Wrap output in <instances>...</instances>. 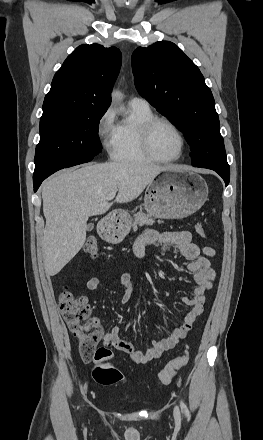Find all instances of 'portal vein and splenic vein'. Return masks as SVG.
Segmentation results:
<instances>
[{
	"mask_svg": "<svg viewBox=\"0 0 263 440\" xmlns=\"http://www.w3.org/2000/svg\"><path fill=\"white\" fill-rule=\"evenodd\" d=\"M117 191H113L111 192L108 196H107V201L112 200L115 196H116Z\"/></svg>",
	"mask_w": 263,
	"mask_h": 440,
	"instance_id": "portal-vein-and-splenic-vein-1",
	"label": "portal vein and splenic vein"
}]
</instances>
